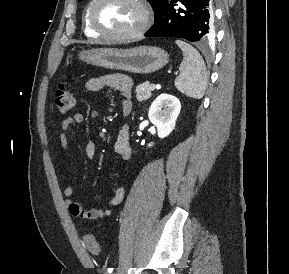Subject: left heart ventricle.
<instances>
[{
  "mask_svg": "<svg viewBox=\"0 0 289 274\" xmlns=\"http://www.w3.org/2000/svg\"><path fill=\"white\" fill-rule=\"evenodd\" d=\"M100 28L111 33H127L141 22V11L131 0H103L94 11Z\"/></svg>",
  "mask_w": 289,
  "mask_h": 274,
  "instance_id": "left-heart-ventricle-1",
  "label": "left heart ventricle"
}]
</instances>
